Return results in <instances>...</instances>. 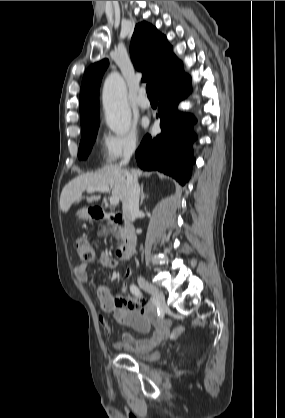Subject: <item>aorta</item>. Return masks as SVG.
<instances>
[{"label": "aorta", "mask_w": 285, "mask_h": 418, "mask_svg": "<svg viewBox=\"0 0 285 418\" xmlns=\"http://www.w3.org/2000/svg\"><path fill=\"white\" fill-rule=\"evenodd\" d=\"M106 124L117 135L126 134L131 126V112L127 104V87L122 76L111 73L102 92Z\"/></svg>", "instance_id": "762f6f07"}]
</instances>
